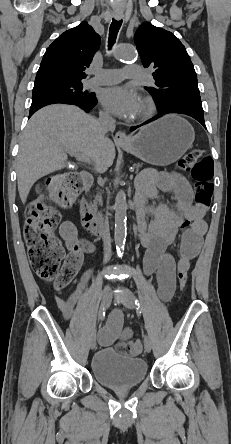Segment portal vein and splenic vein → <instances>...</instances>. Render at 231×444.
<instances>
[{"mask_svg":"<svg viewBox=\"0 0 231 444\" xmlns=\"http://www.w3.org/2000/svg\"><path fill=\"white\" fill-rule=\"evenodd\" d=\"M70 154L74 155L79 161L88 162V163L90 162L89 158L84 154L74 153V152H70Z\"/></svg>","mask_w":231,"mask_h":444,"instance_id":"obj_1","label":"portal vein and splenic vein"}]
</instances>
